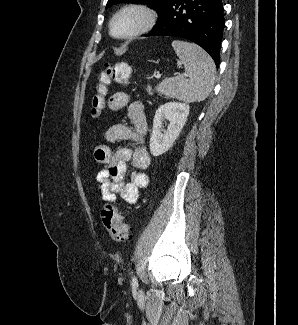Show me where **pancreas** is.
<instances>
[{
  "mask_svg": "<svg viewBox=\"0 0 298 325\" xmlns=\"http://www.w3.org/2000/svg\"><path fill=\"white\" fill-rule=\"evenodd\" d=\"M146 90H147L148 94H155V92H156V88H153V86H150V84H149V86H147Z\"/></svg>",
  "mask_w": 298,
  "mask_h": 325,
  "instance_id": "pancreas-1",
  "label": "pancreas"
}]
</instances>
